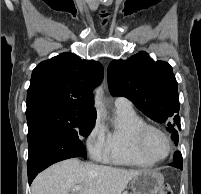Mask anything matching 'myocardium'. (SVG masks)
I'll use <instances>...</instances> for the list:
<instances>
[{
	"mask_svg": "<svg viewBox=\"0 0 201 194\" xmlns=\"http://www.w3.org/2000/svg\"><path fill=\"white\" fill-rule=\"evenodd\" d=\"M149 131H157L165 138L167 145H168V151L165 156H163L161 158H155L148 153L146 146H145V141H146V136ZM136 140H137V145H138L140 152L147 159H149L150 161H152L154 163H158V162H162V161L166 160L170 156V154L173 150V144H172L171 138L168 135V133L165 130H163L161 127H159L155 124L144 123L137 132Z\"/></svg>",
	"mask_w": 201,
	"mask_h": 194,
	"instance_id": "obj_1",
	"label": "myocardium"
}]
</instances>
